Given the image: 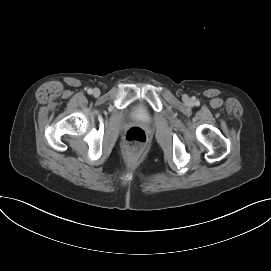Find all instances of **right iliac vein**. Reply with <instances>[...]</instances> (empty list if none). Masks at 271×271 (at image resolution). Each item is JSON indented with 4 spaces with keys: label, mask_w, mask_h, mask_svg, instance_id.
I'll return each instance as SVG.
<instances>
[{
    "label": "right iliac vein",
    "mask_w": 271,
    "mask_h": 271,
    "mask_svg": "<svg viewBox=\"0 0 271 271\" xmlns=\"http://www.w3.org/2000/svg\"><path fill=\"white\" fill-rule=\"evenodd\" d=\"M93 95H94L95 97H98V96L100 95V90L97 89V88H95V89L93 90Z\"/></svg>",
    "instance_id": "right-iliac-vein-1"
}]
</instances>
